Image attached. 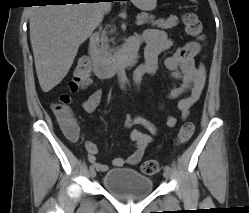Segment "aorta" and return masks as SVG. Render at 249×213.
<instances>
[{"mask_svg": "<svg viewBox=\"0 0 249 213\" xmlns=\"http://www.w3.org/2000/svg\"><path fill=\"white\" fill-rule=\"evenodd\" d=\"M118 80L120 83L121 88H125L127 83L126 71L124 62L120 59L118 61V71H117Z\"/></svg>", "mask_w": 249, "mask_h": 213, "instance_id": "obj_1", "label": "aorta"}]
</instances>
